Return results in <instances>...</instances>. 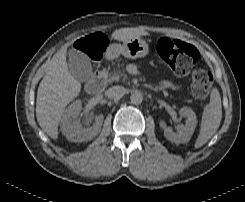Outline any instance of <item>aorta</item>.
<instances>
[{
  "instance_id": "obj_1",
  "label": "aorta",
  "mask_w": 245,
  "mask_h": 202,
  "mask_svg": "<svg viewBox=\"0 0 245 202\" xmlns=\"http://www.w3.org/2000/svg\"><path fill=\"white\" fill-rule=\"evenodd\" d=\"M130 101L132 104L139 105L143 101V95L140 92H134L130 96Z\"/></svg>"
}]
</instances>
